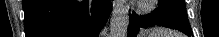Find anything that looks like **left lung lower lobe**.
<instances>
[{
	"label": "left lung lower lobe",
	"instance_id": "0a47b994",
	"mask_svg": "<svg viewBox=\"0 0 219 37\" xmlns=\"http://www.w3.org/2000/svg\"><path fill=\"white\" fill-rule=\"evenodd\" d=\"M155 25L179 30L187 36L193 35L191 27L185 26L172 15L157 9L150 14L140 17L134 12L132 14L129 13L128 37H136L141 28Z\"/></svg>",
	"mask_w": 219,
	"mask_h": 37
}]
</instances>
